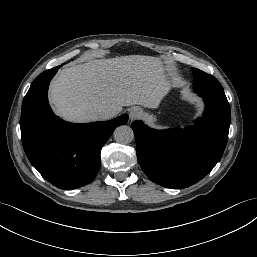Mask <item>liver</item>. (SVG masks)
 Listing matches in <instances>:
<instances>
[{"label":"liver","instance_id":"6515ba94","mask_svg":"<svg viewBox=\"0 0 257 257\" xmlns=\"http://www.w3.org/2000/svg\"><path fill=\"white\" fill-rule=\"evenodd\" d=\"M170 82L162 62L152 56L128 55L96 59L63 69L50 85L56 113L68 121H95L100 109L157 107Z\"/></svg>","mask_w":257,"mask_h":257}]
</instances>
